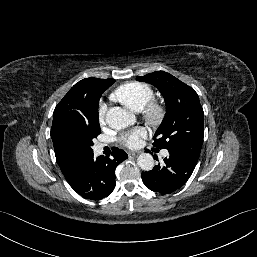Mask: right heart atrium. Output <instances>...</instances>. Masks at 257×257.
<instances>
[{
  "label": "right heart atrium",
  "instance_id": "obj_1",
  "mask_svg": "<svg viewBox=\"0 0 257 257\" xmlns=\"http://www.w3.org/2000/svg\"><path fill=\"white\" fill-rule=\"evenodd\" d=\"M105 113H106V106L101 105L100 106V111H99V120L100 122H104L105 120Z\"/></svg>",
  "mask_w": 257,
  "mask_h": 257
}]
</instances>
